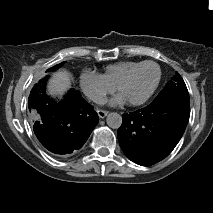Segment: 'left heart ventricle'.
<instances>
[{"label": "left heart ventricle", "instance_id": "b2bd125f", "mask_svg": "<svg viewBox=\"0 0 213 213\" xmlns=\"http://www.w3.org/2000/svg\"><path fill=\"white\" fill-rule=\"evenodd\" d=\"M157 76V70L151 65L138 69L122 86L119 93L127 101H137L145 97L152 89Z\"/></svg>", "mask_w": 213, "mask_h": 213}]
</instances>
